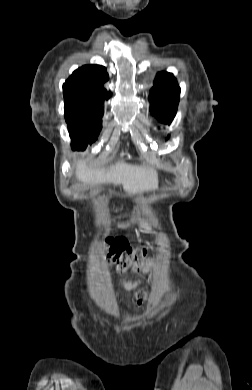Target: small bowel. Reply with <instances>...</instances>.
I'll return each mask as SVG.
<instances>
[{"label":"small bowel","instance_id":"small-bowel-1","mask_svg":"<svg viewBox=\"0 0 252 390\" xmlns=\"http://www.w3.org/2000/svg\"><path fill=\"white\" fill-rule=\"evenodd\" d=\"M121 285L122 287L127 290L131 291L137 288L141 285V280L139 279H129V278H122L121 279Z\"/></svg>","mask_w":252,"mask_h":390}]
</instances>
